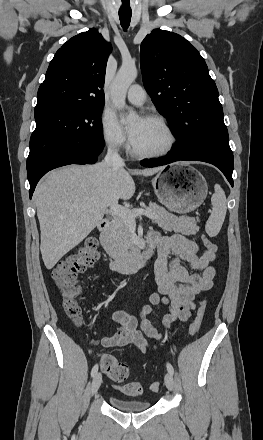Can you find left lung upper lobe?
Masks as SVG:
<instances>
[{
    "label": "left lung upper lobe",
    "instance_id": "5c2ea615",
    "mask_svg": "<svg viewBox=\"0 0 263 440\" xmlns=\"http://www.w3.org/2000/svg\"><path fill=\"white\" fill-rule=\"evenodd\" d=\"M140 62L144 86L178 139L174 148L193 155L229 142L216 84L186 39L155 29L141 43Z\"/></svg>",
    "mask_w": 263,
    "mask_h": 440
}]
</instances>
